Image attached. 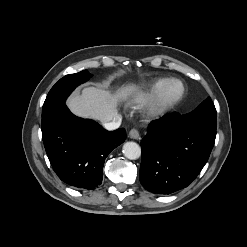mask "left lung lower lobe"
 Returning <instances> with one entry per match:
<instances>
[{
  "label": "left lung lower lobe",
  "instance_id": "0a47b994",
  "mask_svg": "<svg viewBox=\"0 0 247 247\" xmlns=\"http://www.w3.org/2000/svg\"><path fill=\"white\" fill-rule=\"evenodd\" d=\"M215 137L216 130L188 125L178 113L153 121L141 141V184L158 194L187 187L206 164Z\"/></svg>",
  "mask_w": 247,
  "mask_h": 247
}]
</instances>
